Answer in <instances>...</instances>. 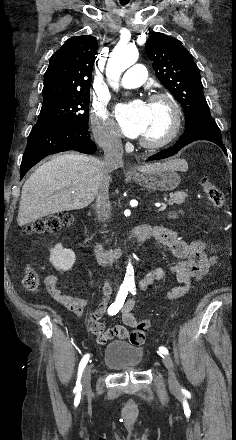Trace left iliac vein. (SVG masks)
<instances>
[{
    "label": "left iliac vein",
    "mask_w": 236,
    "mask_h": 440,
    "mask_svg": "<svg viewBox=\"0 0 236 440\" xmlns=\"http://www.w3.org/2000/svg\"><path fill=\"white\" fill-rule=\"evenodd\" d=\"M163 363L166 366V368L168 369V373H169V378H168L169 387L172 390L178 389L179 385H178V381H177V378H176V374H175V370H174V363H173L172 359L169 356H163Z\"/></svg>",
    "instance_id": "4c4485c4"
}]
</instances>
